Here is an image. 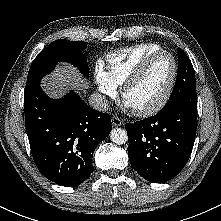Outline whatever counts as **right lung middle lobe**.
<instances>
[{"label":"right lung middle lobe","mask_w":221,"mask_h":221,"mask_svg":"<svg viewBox=\"0 0 221 221\" xmlns=\"http://www.w3.org/2000/svg\"><path fill=\"white\" fill-rule=\"evenodd\" d=\"M87 42L56 40L38 54L32 62L26 83V89L38 84L40 79L50 73L57 62L66 61L73 63L80 71L89 76L87 58L82 51Z\"/></svg>","instance_id":"right-lung-middle-lobe-1"}]
</instances>
